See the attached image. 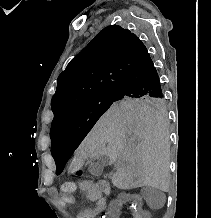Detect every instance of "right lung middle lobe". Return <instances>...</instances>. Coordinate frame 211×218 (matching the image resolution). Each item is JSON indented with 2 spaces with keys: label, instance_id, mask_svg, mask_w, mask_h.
<instances>
[{
  "label": "right lung middle lobe",
  "instance_id": "right-lung-middle-lobe-1",
  "mask_svg": "<svg viewBox=\"0 0 211 218\" xmlns=\"http://www.w3.org/2000/svg\"><path fill=\"white\" fill-rule=\"evenodd\" d=\"M148 106L164 112L166 103L161 97H124L116 92L106 93L91 98L56 118L51 125L50 137L52 146L70 143L78 146L97 120L109 107ZM64 164H57L56 174H61Z\"/></svg>",
  "mask_w": 211,
  "mask_h": 218
}]
</instances>
